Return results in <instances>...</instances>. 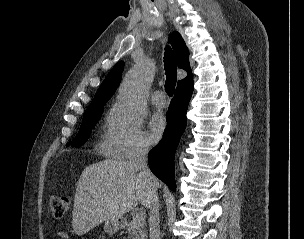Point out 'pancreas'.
Instances as JSON below:
<instances>
[{
    "mask_svg": "<svg viewBox=\"0 0 304 239\" xmlns=\"http://www.w3.org/2000/svg\"><path fill=\"white\" fill-rule=\"evenodd\" d=\"M134 219V218H133ZM128 234L129 239H146L147 238V232L145 229V222L144 221H134L132 220L128 224Z\"/></svg>",
    "mask_w": 304,
    "mask_h": 239,
    "instance_id": "cf45deb5",
    "label": "pancreas"
}]
</instances>
